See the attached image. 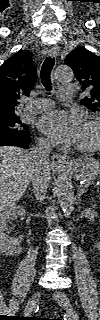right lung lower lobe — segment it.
Returning <instances> with one entry per match:
<instances>
[{
    "label": "right lung lower lobe",
    "instance_id": "98d812e1",
    "mask_svg": "<svg viewBox=\"0 0 100 320\" xmlns=\"http://www.w3.org/2000/svg\"><path fill=\"white\" fill-rule=\"evenodd\" d=\"M30 143V135L0 137V145L17 146L27 148Z\"/></svg>",
    "mask_w": 100,
    "mask_h": 320
}]
</instances>
